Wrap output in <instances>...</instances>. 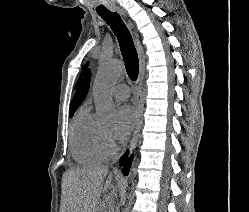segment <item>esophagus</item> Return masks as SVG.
<instances>
[{"mask_svg": "<svg viewBox=\"0 0 249 212\" xmlns=\"http://www.w3.org/2000/svg\"><path fill=\"white\" fill-rule=\"evenodd\" d=\"M118 13L125 15L123 10L119 7L115 9ZM135 45H136V50L138 53L139 57V62H140V70H139V77L136 82V106H137V123H136V128L134 131V138L133 142L130 146V152L134 149V147L137 144L138 137L140 135L141 129L143 127V103H142V85H143V78L145 75V54L143 47L136 35V40H135ZM118 169H114V172H117Z\"/></svg>", "mask_w": 249, "mask_h": 212, "instance_id": "esophagus-1", "label": "esophagus"}]
</instances>
